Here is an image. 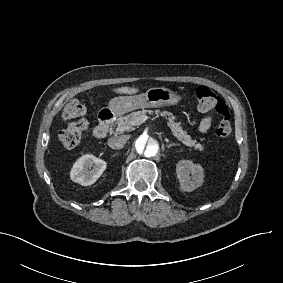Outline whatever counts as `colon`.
<instances>
[{
	"instance_id": "obj_1",
	"label": "colon",
	"mask_w": 283,
	"mask_h": 283,
	"mask_svg": "<svg viewBox=\"0 0 283 283\" xmlns=\"http://www.w3.org/2000/svg\"><path fill=\"white\" fill-rule=\"evenodd\" d=\"M196 106L201 111H215L219 116L215 124L217 138L226 139L231 134L230 111L222 98L212 89L200 86L195 92ZM67 125L59 132V140L66 148L76 147L87 130L86 108L78 99L69 101L61 114Z\"/></svg>"
}]
</instances>
